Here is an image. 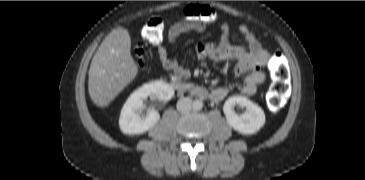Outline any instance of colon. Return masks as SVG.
<instances>
[{
  "label": "colon",
  "mask_w": 365,
  "mask_h": 180,
  "mask_svg": "<svg viewBox=\"0 0 365 180\" xmlns=\"http://www.w3.org/2000/svg\"><path fill=\"white\" fill-rule=\"evenodd\" d=\"M185 16L191 20L204 23H212L216 14L207 6L189 5L186 7ZM165 21L160 16L149 18L142 27L141 35L150 44H159L163 39ZM134 55L139 65L144 64V49L139 44L134 48ZM270 71L273 82L267 92L266 100L268 107L272 111H279L286 103V93L288 91V68L285 57L279 53L275 54L270 61Z\"/></svg>",
  "instance_id": "colon-1"
}]
</instances>
